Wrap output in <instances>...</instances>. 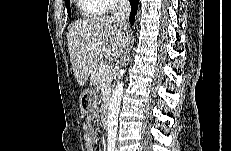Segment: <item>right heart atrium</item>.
I'll use <instances>...</instances> for the list:
<instances>
[{"label":"right heart atrium","instance_id":"1","mask_svg":"<svg viewBox=\"0 0 231 151\" xmlns=\"http://www.w3.org/2000/svg\"><path fill=\"white\" fill-rule=\"evenodd\" d=\"M102 7L104 11L112 12L117 10L121 5V0H101Z\"/></svg>","mask_w":231,"mask_h":151}]
</instances>
